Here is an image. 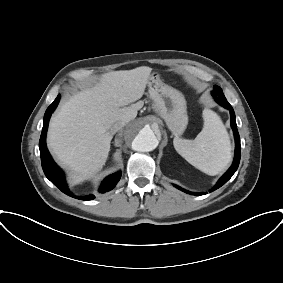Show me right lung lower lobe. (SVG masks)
Listing matches in <instances>:
<instances>
[{
  "instance_id": "right-lung-lower-lobe-1",
  "label": "right lung lower lobe",
  "mask_w": 283,
  "mask_h": 283,
  "mask_svg": "<svg viewBox=\"0 0 283 283\" xmlns=\"http://www.w3.org/2000/svg\"><path fill=\"white\" fill-rule=\"evenodd\" d=\"M60 97L58 96L55 101L47 108L45 115H44V123H43V129H42V133H41V137H40V141H39V149H40V155H41V164H42V168L43 171L46 175V177L56 186L58 187L63 193L77 198V199H81V200H91L94 198L93 195H89V196H83V197H77L74 196L68 189L65 179H64V174L61 171V169L55 164V162L53 161V159L51 158L50 153L48 152V149L46 147V132L48 129V123H49V119L51 117V114L53 113V111L55 110V108L57 107L58 103H59ZM121 177V173H115L109 177H107L101 187H100V191L101 192H105V191H109L111 190L119 181Z\"/></svg>"
}]
</instances>
